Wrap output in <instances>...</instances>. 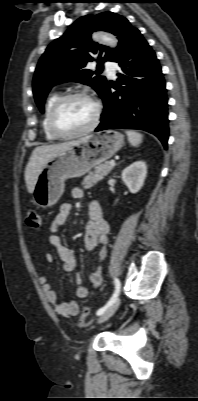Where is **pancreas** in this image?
<instances>
[{
	"label": "pancreas",
	"instance_id": "obj_1",
	"mask_svg": "<svg viewBox=\"0 0 198 401\" xmlns=\"http://www.w3.org/2000/svg\"><path fill=\"white\" fill-rule=\"evenodd\" d=\"M113 169V166H110L109 163H104L96 166L94 172H90L83 180L82 186L85 189L93 187L99 181H101L105 176H107Z\"/></svg>",
	"mask_w": 198,
	"mask_h": 401
}]
</instances>
